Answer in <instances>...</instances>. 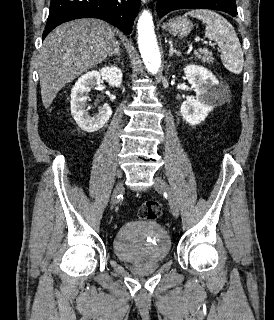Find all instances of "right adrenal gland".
<instances>
[{"label": "right adrenal gland", "mask_w": 274, "mask_h": 320, "mask_svg": "<svg viewBox=\"0 0 274 320\" xmlns=\"http://www.w3.org/2000/svg\"><path fill=\"white\" fill-rule=\"evenodd\" d=\"M112 56H117L118 60L121 56L118 42H116V44H115L114 52H112V54H109L108 58H112Z\"/></svg>", "instance_id": "obj_1"}]
</instances>
